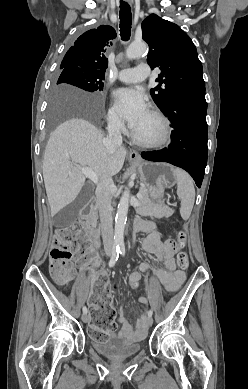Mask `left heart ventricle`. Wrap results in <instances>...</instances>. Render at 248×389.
Wrapping results in <instances>:
<instances>
[{
  "label": "left heart ventricle",
  "instance_id": "left-heart-ventricle-1",
  "mask_svg": "<svg viewBox=\"0 0 248 389\" xmlns=\"http://www.w3.org/2000/svg\"><path fill=\"white\" fill-rule=\"evenodd\" d=\"M133 132L141 139L154 140L161 134V125L159 121L148 112L139 125L133 129Z\"/></svg>",
  "mask_w": 248,
  "mask_h": 389
}]
</instances>
